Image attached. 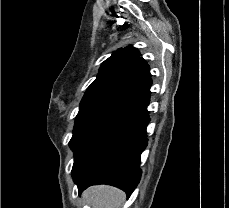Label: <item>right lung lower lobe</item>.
Wrapping results in <instances>:
<instances>
[{"mask_svg":"<svg viewBox=\"0 0 229 208\" xmlns=\"http://www.w3.org/2000/svg\"><path fill=\"white\" fill-rule=\"evenodd\" d=\"M148 111L93 148L72 171L79 193L96 184L118 187L129 197L140 181V156L147 146Z\"/></svg>","mask_w":229,"mask_h":208,"instance_id":"right-lung-lower-lobe-1","label":"right lung lower lobe"}]
</instances>
